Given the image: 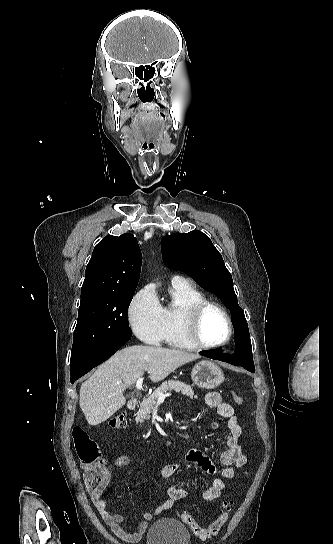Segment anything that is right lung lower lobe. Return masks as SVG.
Instances as JSON below:
<instances>
[{
	"mask_svg": "<svg viewBox=\"0 0 333 544\" xmlns=\"http://www.w3.org/2000/svg\"><path fill=\"white\" fill-rule=\"evenodd\" d=\"M132 334H120L95 348L78 363L70 366V382L73 384L81 376L111 357L126 344Z\"/></svg>",
	"mask_w": 333,
	"mask_h": 544,
	"instance_id": "1",
	"label": "right lung lower lobe"
}]
</instances>
